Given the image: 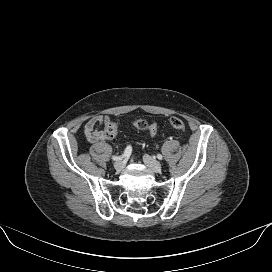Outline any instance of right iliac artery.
Listing matches in <instances>:
<instances>
[{"label":"right iliac artery","mask_w":272,"mask_h":272,"mask_svg":"<svg viewBox=\"0 0 272 272\" xmlns=\"http://www.w3.org/2000/svg\"><path fill=\"white\" fill-rule=\"evenodd\" d=\"M132 152V147L129 145L126 147L125 151L123 152V154L121 156H112L113 160H119V159H123V158H128L131 155Z\"/></svg>","instance_id":"obj_1"}]
</instances>
